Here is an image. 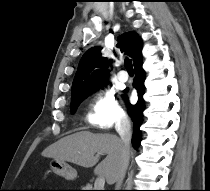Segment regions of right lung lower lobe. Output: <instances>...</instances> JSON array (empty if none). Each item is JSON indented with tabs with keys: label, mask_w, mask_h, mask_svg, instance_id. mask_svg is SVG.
I'll use <instances>...</instances> for the list:
<instances>
[{
	"label": "right lung lower lobe",
	"mask_w": 210,
	"mask_h": 191,
	"mask_svg": "<svg viewBox=\"0 0 210 191\" xmlns=\"http://www.w3.org/2000/svg\"><path fill=\"white\" fill-rule=\"evenodd\" d=\"M136 76L133 80V87L137 90L138 93V102L135 105H131L128 103V100L126 97L125 101L128 107V113L131 116V119L134 124V130H133V137H132V145L136 149L141 141V134L139 131V127L142 124V117H143V111H144V100H143V94H144V80H145V73L142 69V54L137 56V58L134 61ZM127 90V89H126Z\"/></svg>",
	"instance_id": "obj_1"
}]
</instances>
